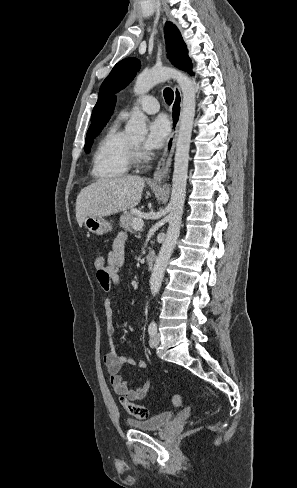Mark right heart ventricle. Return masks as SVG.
Listing matches in <instances>:
<instances>
[{
	"label": "right heart ventricle",
	"instance_id": "right-heart-ventricle-1",
	"mask_svg": "<svg viewBox=\"0 0 297 488\" xmlns=\"http://www.w3.org/2000/svg\"><path fill=\"white\" fill-rule=\"evenodd\" d=\"M131 140L113 123L97 142L92 158V175L113 180L126 174L131 164Z\"/></svg>",
	"mask_w": 297,
	"mask_h": 488
}]
</instances>
